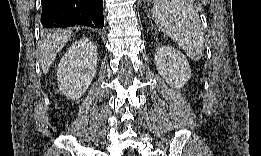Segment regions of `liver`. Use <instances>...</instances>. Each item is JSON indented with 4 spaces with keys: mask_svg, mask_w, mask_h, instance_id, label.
Listing matches in <instances>:
<instances>
[{
    "mask_svg": "<svg viewBox=\"0 0 261 156\" xmlns=\"http://www.w3.org/2000/svg\"><path fill=\"white\" fill-rule=\"evenodd\" d=\"M70 37V30H59L43 40L39 51V62L44 74L48 73L57 53L66 45Z\"/></svg>",
    "mask_w": 261,
    "mask_h": 156,
    "instance_id": "obj_1",
    "label": "liver"
}]
</instances>
